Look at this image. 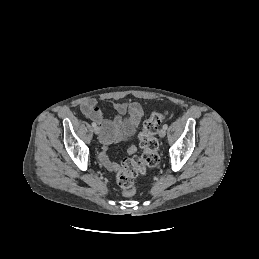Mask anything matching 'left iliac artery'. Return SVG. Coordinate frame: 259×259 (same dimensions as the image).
Instances as JSON below:
<instances>
[{"label":"left iliac artery","mask_w":259,"mask_h":259,"mask_svg":"<svg viewBox=\"0 0 259 259\" xmlns=\"http://www.w3.org/2000/svg\"><path fill=\"white\" fill-rule=\"evenodd\" d=\"M163 128L166 130L168 128V125L167 124H164L163 125Z\"/></svg>","instance_id":"left-iliac-artery-1"}]
</instances>
